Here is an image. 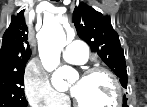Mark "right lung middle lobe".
Listing matches in <instances>:
<instances>
[{
    "instance_id": "1",
    "label": "right lung middle lobe",
    "mask_w": 147,
    "mask_h": 107,
    "mask_svg": "<svg viewBox=\"0 0 147 107\" xmlns=\"http://www.w3.org/2000/svg\"><path fill=\"white\" fill-rule=\"evenodd\" d=\"M25 68L0 74V107H26L23 86Z\"/></svg>"
}]
</instances>
